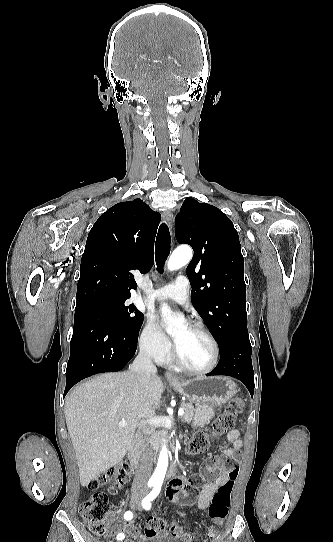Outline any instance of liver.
Instances as JSON below:
<instances>
[{
	"instance_id": "6515ba94",
	"label": "liver",
	"mask_w": 333,
	"mask_h": 542,
	"mask_svg": "<svg viewBox=\"0 0 333 542\" xmlns=\"http://www.w3.org/2000/svg\"><path fill=\"white\" fill-rule=\"evenodd\" d=\"M163 392L157 376L150 378L143 392L136 372L101 374L71 392L65 418L81 486L86 488L123 460L141 418L160 408ZM121 420L127 426H119Z\"/></svg>"
}]
</instances>
